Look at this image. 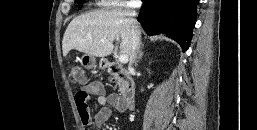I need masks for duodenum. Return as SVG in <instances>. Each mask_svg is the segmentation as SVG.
Masks as SVG:
<instances>
[{
  "label": "duodenum",
  "instance_id": "1",
  "mask_svg": "<svg viewBox=\"0 0 257 130\" xmlns=\"http://www.w3.org/2000/svg\"><path fill=\"white\" fill-rule=\"evenodd\" d=\"M104 67L107 72L119 82L120 94L124 109H132L135 101V84L129 72L119 64L106 61Z\"/></svg>",
  "mask_w": 257,
  "mask_h": 130
}]
</instances>
